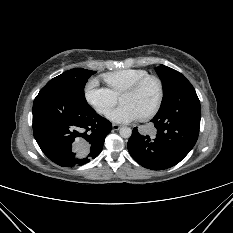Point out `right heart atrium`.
I'll return each mask as SVG.
<instances>
[{
    "label": "right heart atrium",
    "instance_id": "obj_1",
    "mask_svg": "<svg viewBox=\"0 0 233 233\" xmlns=\"http://www.w3.org/2000/svg\"><path fill=\"white\" fill-rule=\"evenodd\" d=\"M84 97L100 115H107L117 101L116 95L109 88L100 86L96 79H91L86 83Z\"/></svg>",
    "mask_w": 233,
    "mask_h": 233
}]
</instances>
